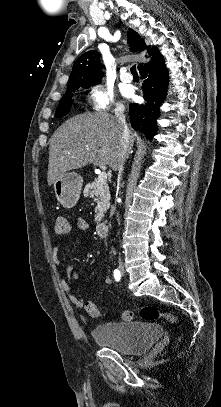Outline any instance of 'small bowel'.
Wrapping results in <instances>:
<instances>
[{"mask_svg":"<svg viewBox=\"0 0 221 407\" xmlns=\"http://www.w3.org/2000/svg\"><path fill=\"white\" fill-rule=\"evenodd\" d=\"M74 226L77 230H80V231L87 230L89 227L88 223L83 218L76 219ZM59 253H60V245L57 244L52 249V258L56 263H59V261H60ZM65 269H66V277L64 279H62L60 282L61 289L65 292L68 299L70 300V302L73 305H75L76 307H83L85 305L84 300L80 296L73 294L71 291V283L73 281L79 280V274H78V272L73 270V265L71 262L66 263ZM111 282H112V280H111L110 276L106 275L104 278V283L110 284Z\"/></svg>","mask_w":221,"mask_h":407,"instance_id":"c3829d8e","label":"small bowel"}]
</instances>
